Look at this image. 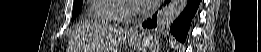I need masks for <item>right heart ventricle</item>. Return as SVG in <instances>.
Here are the masks:
<instances>
[{
    "instance_id": "e07e8e85",
    "label": "right heart ventricle",
    "mask_w": 261,
    "mask_h": 52,
    "mask_svg": "<svg viewBox=\"0 0 261 52\" xmlns=\"http://www.w3.org/2000/svg\"><path fill=\"white\" fill-rule=\"evenodd\" d=\"M121 10L117 1L95 0L90 7V20L106 24H120L119 18L115 15Z\"/></svg>"
}]
</instances>
